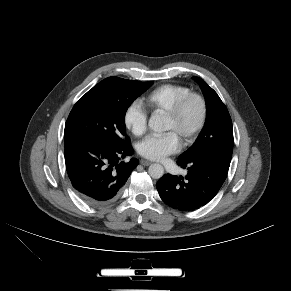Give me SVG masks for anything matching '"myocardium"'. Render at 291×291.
Instances as JSON below:
<instances>
[{
	"label": "myocardium",
	"mask_w": 291,
	"mask_h": 291,
	"mask_svg": "<svg viewBox=\"0 0 291 291\" xmlns=\"http://www.w3.org/2000/svg\"><path fill=\"white\" fill-rule=\"evenodd\" d=\"M192 101H196L199 104L200 115L198 122L196 126L193 128V130L188 135L181 139L183 146L191 145L196 140V138L198 137V135L200 134V132L202 131L206 124L208 116V105L206 99L199 93L191 92L184 96L183 98L179 99L172 106V108L165 113L166 117L172 120H176L181 115L185 107Z\"/></svg>",
	"instance_id": "myocardium-1"
}]
</instances>
